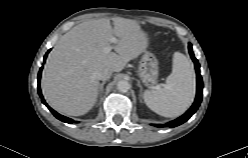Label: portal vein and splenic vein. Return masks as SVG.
Listing matches in <instances>:
<instances>
[{"instance_id":"18ae733b","label":"portal vein and splenic vein","mask_w":248,"mask_h":158,"mask_svg":"<svg viewBox=\"0 0 248 158\" xmlns=\"http://www.w3.org/2000/svg\"><path fill=\"white\" fill-rule=\"evenodd\" d=\"M110 40H111V42L113 44L117 43V38L116 37H111ZM111 50H112V46L111 45L104 48V52L105 53H110Z\"/></svg>"}]
</instances>
